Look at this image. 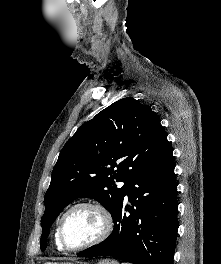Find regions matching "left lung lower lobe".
Returning a JSON list of instances; mask_svg holds the SVG:
<instances>
[{"mask_svg":"<svg viewBox=\"0 0 221 264\" xmlns=\"http://www.w3.org/2000/svg\"><path fill=\"white\" fill-rule=\"evenodd\" d=\"M125 196L132 206L124 205ZM124 197L111 214V235L77 256L105 255L134 264H173L178 202L168 140L157 157L128 183Z\"/></svg>","mask_w":221,"mask_h":264,"instance_id":"0a47b994","label":"left lung lower lobe"}]
</instances>
